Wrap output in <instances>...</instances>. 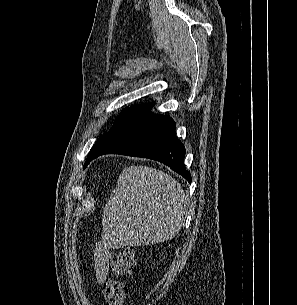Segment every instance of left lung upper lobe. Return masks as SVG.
I'll return each mask as SVG.
<instances>
[{"label":"left lung upper lobe","instance_id":"obj_1","mask_svg":"<svg viewBox=\"0 0 297 305\" xmlns=\"http://www.w3.org/2000/svg\"><path fill=\"white\" fill-rule=\"evenodd\" d=\"M105 135H106V132H105L102 136L99 137V139L96 141L95 145H94V146L92 147V149L90 150V153H89V155H88V157H87V160H86V162H85L84 167L87 166V164H88L89 156H90L92 153H94V152L99 148V146L101 145V143H102L103 138L105 137Z\"/></svg>","mask_w":297,"mask_h":305}]
</instances>
